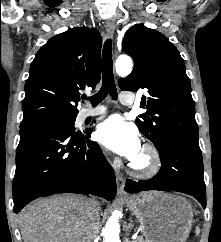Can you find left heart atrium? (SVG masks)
Returning a JSON list of instances; mask_svg holds the SVG:
<instances>
[{"instance_id": "39dd6f15", "label": "left heart atrium", "mask_w": 221, "mask_h": 242, "mask_svg": "<svg viewBox=\"0 0 221 242\" xmlns=\"http://www.w3.org/2000/svg\"><path fill=\"white\" fill-rule=\"evenodd\" d=\"M96 138L103 146L129 160H133L141 149L136 127L118 115L99 124Z\"/></svg>"}]
</instances>
